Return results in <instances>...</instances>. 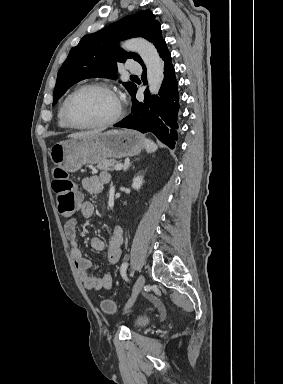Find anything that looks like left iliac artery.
Wrapping results in <instances>:
<instances>
[{"mask_svg":"<svg viewBox=\"0 0 283 384\" xmlns=\"http://www.w3.org/2000/svg\"><path fill=\"white\" fill-rule=\"evenodd\" d=\"M127 267H128V263L125 262L121 265V268H120V273H121V276L127 280V277H126V271H127Z\"/></svg>","mask_w":283,"mask_h":384,"instance_id":"left-iliac-artery-1","label":"left iliac artery"}]
</instances>
